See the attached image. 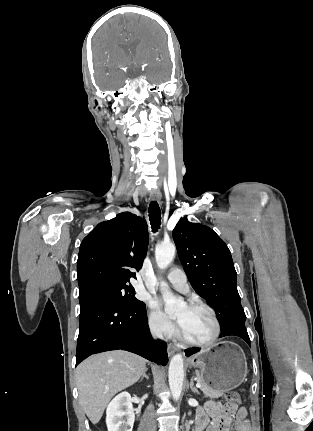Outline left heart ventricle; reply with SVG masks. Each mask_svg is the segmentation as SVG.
<instances>
[{
  "label": "left heart ventricle",
  "mask_w": 313,
  "mask_h": 431,
  "mask_svg": "<svg viewBox=\"0 0 313 431\" xmlns=\"http://www.w3.org/2000/svg\"><path fill=\"white\" fill-rule=\"evenodd\" d=\"M173 317L182 333L192 341L206 342L214 335L212 317L203 309H191L182 305L174 312Z\"/></svg>",
  "instance_id": "obj_1"
}]
</instances>
